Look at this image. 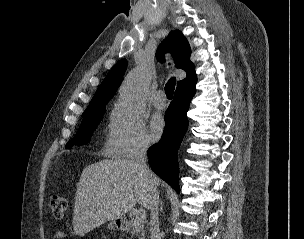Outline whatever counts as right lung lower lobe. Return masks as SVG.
<instances>
[{
	"label": "right lung lower lobe",
	"mask_w": 304,
	"mask_h": 239,
	"mask_svg": "<svg viewBox=\"0 0 304 239\" xmlns=\"http://www.w3.org/2000/svg\"><path fill=\"white\" fill-rule=\"evenodd\" d=\"M196 81L195 76L177 87L174 100L165 114L166 126L162 138L148 150L151 169L178 193L177 151L188 128L186 114L196 92Z\"/></svg>",
	"instance_id": "right-lung-lower-lobe-1"
}]
</instances>
